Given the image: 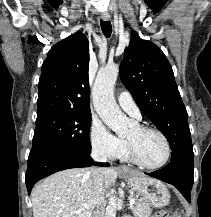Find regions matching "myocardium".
Here are the masks:
<instances>
[{"mask_svg":"<svg viewBox=\"0 0 211 217\" xmlns=\"http://www.w3.org/2000/svg\"><path fill=\"white\" fill-rule=\"evenodd\" d=\"M139 130L141 132H154V133H157L164 141L165 143V146H166V156L164 158V160L157 164V165H149V164H146L144 163L140 157L138 156L133 144L127 140V152H128V156H129V159L136 165L144 168V169H148V170H156V169H160L162 167H164L170 160V157H171V145H170V142L167 138V136L158 128H155V127H151V126H139L138 127Z\"/></svg>","mask_w":211,"mask_h":217,"instance_id":"obj_1","label":"myocardium"}]
</instances>
